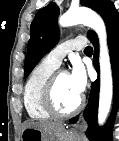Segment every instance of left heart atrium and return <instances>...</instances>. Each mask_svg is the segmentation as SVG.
Instances as JSON below:
<instances>
[{"mask_svg":"<svg viewBox=\"0 0 119 141\" xmlns=\"http://www.w3.org/2000/svg\"><path fill=\"white\" fill-rule=\"evenodd\" d=\"M70 83L77 95L81 96L86 88V73L84 67L75 62L71 73L68 75Z\"/></svg>","mask_w":119,"mask_h":141,"instance_id":"left-heart-atrium-1","label":"left heart atrium"}]
</instances>
